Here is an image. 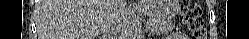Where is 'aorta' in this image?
Here are the masks:
<instances>
[{"label":"aorta","instance_id":"aorta-1","mask_svg":"<svg viewBox=\"0 0 249 39\" xmlns=\"http://www.w3.org/2000/svg\"><path fill=\"white\" fill-rule=\"evenodd\" d=\"M139 19L136 16L135 11L130 9L128 20H127V30L126 37L127 39H136L139 36Z\"/></svg>","mask_w":249,"mask_h":39}]
</instances>
